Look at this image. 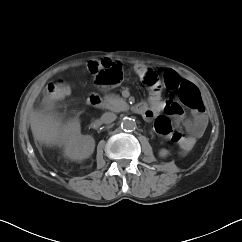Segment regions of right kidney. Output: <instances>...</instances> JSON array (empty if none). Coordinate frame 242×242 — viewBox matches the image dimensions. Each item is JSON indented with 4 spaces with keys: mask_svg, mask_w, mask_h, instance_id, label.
<instances>
[{
    "mask_svg": "<svg viewBox=\"0 0 242 242\" xmlns=\"http://www.w3.org/2000/svg\"><path fill=\"white\" fill-rule=\"evenodd\" d=\"M63 145L66 157L80 161L92 155L95 148V140L90 135H81L80 123L75 118L64 127Z\"/></svg>",
    "mask_w": 242,
    "mask_h": 242,
    "instance_id": "right-kidney-1",
    "label": "right kidney"
}]
</instances>
